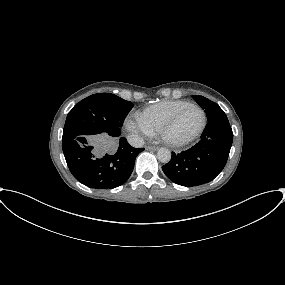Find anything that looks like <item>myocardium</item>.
<instances>
[{
	"mask_svg": "<svg viewBox=\"0 0 285 285\" xmlns=\"http://www.w3.org/2000/svg\"><path fill=\"white\" fill-rule=\"evenodd\" d=\"M189 108H196L202 114V123L199 129L195 133H193L192 135L186 138H182V139L172 138L170 136L171 130L176 126V124L178 123L183 113ZM206 120H207L206 113L200 106L195 105V104H188L185 107L181 108L179 111H177L166 123H164L159 132H160L162 139L164 140L166 144L173 146V147H181V146H184L192 142L193 140H195L201 135V133L204 131L206 127Z\"/></svg>",
	"mask_w": 285,
	"mask_h": 285,
	"instance_id": "myocardium-1",
	"label": "myocardium"
}]
</instances>
